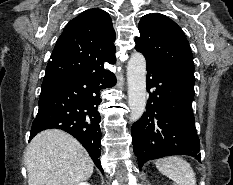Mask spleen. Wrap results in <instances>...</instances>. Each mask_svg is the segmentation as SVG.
<instances>
[{"mask_svg": "<svg viewBox=\"0 0 233 185\" xmlns=\"http://www.w3.org/2000/svg\"><path fill=\"white\" fill-rule=\"evenodd\" d=\"M155 165L159 172L177 185H196V177L191 165L181 157L162 158L157 160Z\"/></svg>", "mask_w": 233, "mask_h": 185, "instance_id": "3e777b00", "label": "spleen"}]
</instances>
